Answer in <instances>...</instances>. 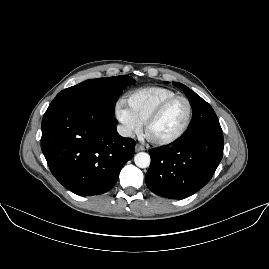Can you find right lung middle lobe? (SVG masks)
<instances>
[{
	"label": "right lung middle lobe",
	"instance_id": "right-lung-middle-lobe-1",
	"mask_svg": "<svg viewBox=\"0 0 269 269\" xmlns=\"http://www.w3.org/2000/svg\"><path fill=\"white\" fill-rule=\"evenodd\" d=\"M135 82L127 75L90 79L62 90L55 100L66 99L94 105L106 112L114 113L116 101L122 90Z\"/></svg>",
	"mask_w": 269,
	"mask_h": 269
}]
</instances>
